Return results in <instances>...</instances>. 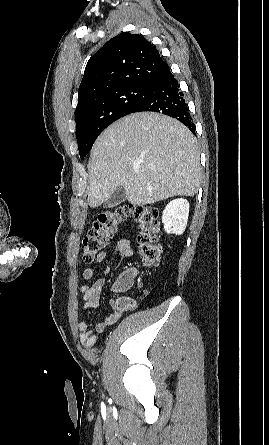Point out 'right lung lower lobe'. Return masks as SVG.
Listing matches in <instances>:
<instances>
[{"label":"right lung lower lobe","mask_w":269,"mask_h":445,"mask_svg":"<svg viewBox=\"0 0 269 445\" xmlns=\"http://www.w3.org/2000/svg\"><path fill=\"white\" fill-rule=\"evenodd\" d=\"M149 94L143 98L132 113L153 111L176 118L195 134L184 95L170 68L167 66L149 85Z\"/></svg>","instance_id":"obj_1"}]
</instances>
